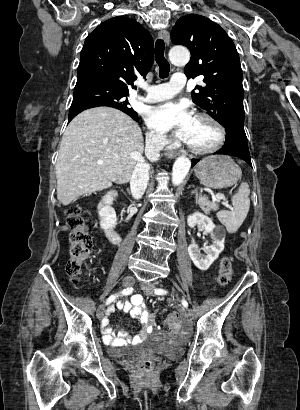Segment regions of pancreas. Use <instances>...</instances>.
<instances>
[{"mask_svg":"<svg viewBox=\"0 0 300 410\" xmlns=\"http://www.w3.org/2000/svg\"><path fill=\"white\" fill-rule=\"evenodd\" d=\"M199 206L206 214H209L212 208V203L209 202L206 198L201 197L199 199Z\"/></svg>","mask_w":300,"mask_h":410,"instance_id":"1","label":"pancreas"}]
</instances>
